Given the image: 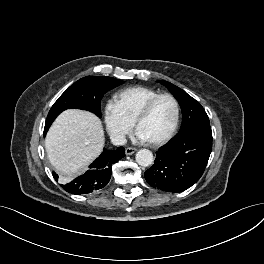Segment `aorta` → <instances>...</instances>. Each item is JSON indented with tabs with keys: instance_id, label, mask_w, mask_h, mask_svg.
I'll list each match as a JSON object with an SVG mask.
<instances>
[{
	"instance_id": "762f6f07",
	"label": "aorta",
	"mask_w": 264,
	"mask_h": 264,
	"mask_svg": "<svg viewBox=\"0 0 264 264\" xmlns=\"http://www.w3.org/2000/svg\"><path fill=\"white\" fill-rule=\"evenodd\" d=\"M136 162L143 167L150 166L153 162V154L148 149H141L136 153Z\"/></svg>"
}]
</instances>
